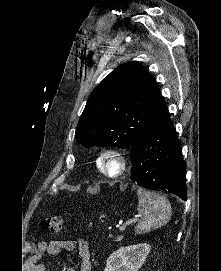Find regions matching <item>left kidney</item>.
Returning <instances> with one entry per match:
<instances>
[{
  "label": "left kidney",
  "mask_w": 221,
  "mask_h": 271,
  "mask_svg": "<svg viewBox=\"0 0 221 271\" xmlns=\"http://www.w3.org/2000/svg\"><path fill=\"white\" fill-rule=\"evenodd\" d=\"M151 245L149 243H136L119 247L109 255L104 271H138L143 265Z\"/></svg>",
  "instance_id": "1"
}]
</instances>
